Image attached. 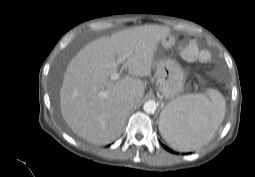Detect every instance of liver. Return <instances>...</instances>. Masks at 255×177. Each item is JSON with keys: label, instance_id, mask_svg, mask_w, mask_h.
Segmentation results:
<instances>
[{"label": "liver", "instance_id": "liver-1", "mask_svg": "<svg viewBox=\"0 0 255 177\" xmlns=\"http://www.w3.org/2000/svg\"><path fill=\"white\" fill-rule=\"evenodd\" d=\"M169 33V28L159 25L130 28L94 40L75 55L60 89L61 113L75 134L97 145L120 136L129 110L125 101L142 100L144 84L138 77L151 74L158 44ZM123 55L129 76L113 82L109 77L120 64L116 56ZM103 89L108 91L104 98L98 96Z\"/></svg>", "mask_w": 255, "mask_h": 177}]
</instances>
